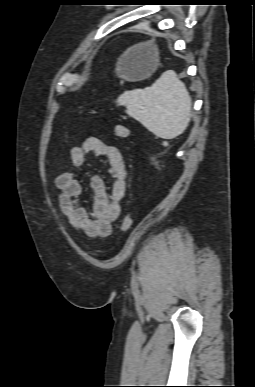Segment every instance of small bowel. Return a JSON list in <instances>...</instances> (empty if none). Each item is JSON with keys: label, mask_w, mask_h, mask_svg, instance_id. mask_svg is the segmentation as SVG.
Segmentation results:
<instances>
[{"label": "small bowel", "mask_w": 255, "mask_h": 387, "mask_svg": "<svg viewBox=\"0 0 255 387\" xmlns=\"http://www.w3.org/2000/svg\"><path fill=\"white\" fill-rule=\"evenodd\" d=\"M90 153L106 161L107 171L112 179L109 192L100 176H91V207L87 209L80 203L82 185L72 173L59 174L55 185L60 191L59 207L70 225L89 238H103L110 235L112 223L120 215L128 172L121 152L96 137H89L81 146L71 148L72 164L82 167Z\"/></svg>", "instance_id": "obj_1"}]
</instances>
